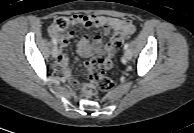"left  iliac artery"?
Segmentation results:
<instances>
[{
    "instance_id": "44dca946",
    "label": "left iliac artery",
    "mask_w": 194,
    "mask_h": 133,
    "mask_svg": "<svg viewBox=\"0 0 194 133\" xmlns=\"http://www.w3.org/2000/svg\"><path fill=\"white\" fill-rule=\"evenodd\" d=\"M128 47H129V43H126V44L124 45V49L126 50V49H128Z\"/></svg>"
}]
</instances>
